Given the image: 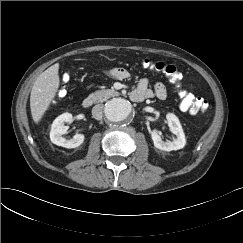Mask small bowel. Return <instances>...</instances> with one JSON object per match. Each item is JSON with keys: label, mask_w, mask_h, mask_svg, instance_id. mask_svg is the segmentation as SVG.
Segmentation results:
<instances>
[{"label": "small bowel", "mask_w": 243, "mask_h": 243, "mask_svg": "<svg viewBox=\"0 0 243 243\" xmlns=\"http://www.w3.org/2000/svg\"><path fill=\"white\" fill-rule=\"evenodd\" d=\"M105 74L109 77L116 78V79H127L129 78V72L121 67L112 68L105 71ZM138 96H142L143 99L157 97L158 99H165L167 97V89L164 84L156 83L154 89H150L148 86V80L143 78L141 79L136 89L132 92Z\"/></svg>", "instance_id": "small-bowel-1"}]
</instances>
